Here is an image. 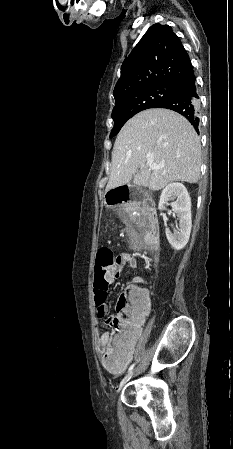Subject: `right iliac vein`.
<instances>
[{
	"label": "right iliac vein",
	"instance_id": "right-iliac-vein-1",
	"mask_svg": "<svg viewBox=\"0 0 233 449\" xmlns=\"http://www.w3.org/2000/svg\"><path fill=\"white\" fill-rule=\"evenodd\" d=\"M134 374H135V370H131L124 378H123V380L121 381V383H120V385H119V387H118V389H117V392H119L121 389H122V387L134 376Z\"/></svg>",
	"mask_w": 233,
	"mask_h": 449
}]
</instances>
